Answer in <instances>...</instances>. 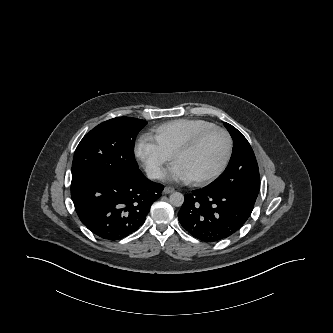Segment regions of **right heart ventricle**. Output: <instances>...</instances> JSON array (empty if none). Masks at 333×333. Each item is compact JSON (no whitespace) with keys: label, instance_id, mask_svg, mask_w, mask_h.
I'll return each mask as SVG.
<instances>
[{"label":"right heart ventricle","instance_id":"1","mask_svg":"<svg viewBox=\"0 0 333 333\" xmlns=\"http://www.w3.org/2000/svg\"><path fill=\"white\" fill-rule=\"evenodd\" d=\"M212 126L215 125L204 119L181 118L154 128L153 137L164 151L173 155L180 146L196 134Z\"/></svg>","mask_w":333,"mask_h":333}]
</instances>
